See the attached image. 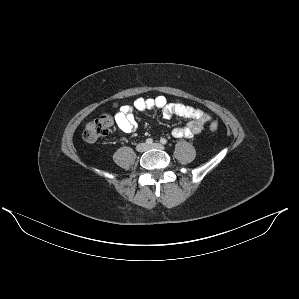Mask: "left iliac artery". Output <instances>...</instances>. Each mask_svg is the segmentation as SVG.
I'll list each match as a JSON object with an SVG mask.
<instances>
[{
    "mask_svg": "<svg viewBox=\"0 0 299 299\" xmlns=\"http://www.w3.org/2000/svg\"><path fill=\"white\" fill-rule=\"evenodd\" d=\"M160 142H161L162 144H167V140H166L165 138H161V139H160Z\"/></svg>",
    "mask_w": 299,
    "mask_h": 299,
    "instance_id": "1",
    "label": "left iliac artery"
}]
</instances>
